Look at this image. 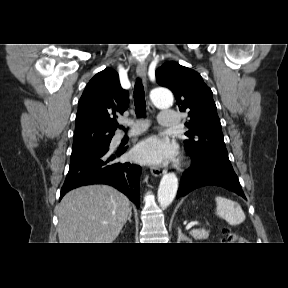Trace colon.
<instances>
[{
	"label": "colon",
	"instance_id": "colon-1",
	"mask_svg": "<svg viewBox=\"0 0 288 288\" xmlns=\"http://www.w3.org/2000/svg\"><path fill=\"white\" fill-rule=\"evenodd\" d=\"M223 237L227 242H233L236 239V236L228 228L222 230Z\"/></svg>",
	"mask_w": 288,
	"mask_h": 288
}]
</instances>
